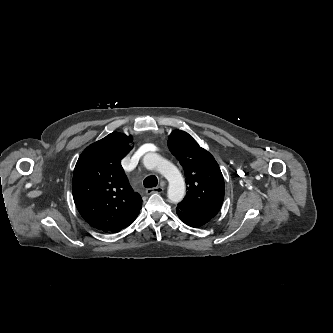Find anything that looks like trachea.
Wrapping results in <instances>:
<instances>
[{
    "instance_id": "obj_1",
    "label": "trachea",
    "mask_w": 333,
    "mask_h": 333,
    "mask_svg": "<svg viewBox=\"0 0 333 333\" xmlns=\"http://www.w3.org/2000/svg\"><path fill=\"white\" fill-rule=\"evenodd\" d=\"M157 183H158V179L154 175L146 177L143 181V184L146 188L156 187Z\"/></svg>"
}]
</instances>
